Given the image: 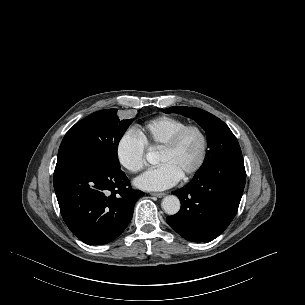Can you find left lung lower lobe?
<instances>
[{
  "label": "left lung lower lobe",
  "mask_w": 305,
  "mask_h": 305,
  "mask_svg": "<svg viewBox=\"0 0 305 305\" xmlns=\"http://www.w3.org/2000/svg\"><path fill=\"white\" fill-rule=\"evenodd\" d=\"M246 172L242 153L231 154L199 170L184 188L174 191L180 211L166 218L183 238L209 242L230 224L242 197Z\"/></svg>",
  "instance_id": "0a47b994"
}]
</instances>
